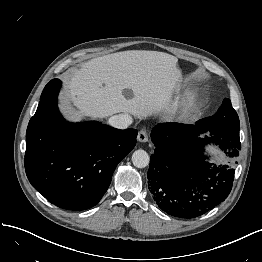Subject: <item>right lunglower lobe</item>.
Returning <instances> with one entry per match:
<instances>
[{
  "instance_id": "obj_1",
  "label": "right lung lower lobe",
  "mask_w": 262,
  "mask_h": 262,
  "mask_svg": "<svg viewBox=\"0 0 262 262\" xmlns=\"http://www.w3.org/2000/svg\"><path fill=\"white\" fill-rule=\"evenodd\" d=\"M59 79L44 88L26 132L25 170L32 186L52 204L68 210L95 206L107 191L118 163L134 148L137 130L100 122L63 119Z\"/></svg>"
}]
</instances>
